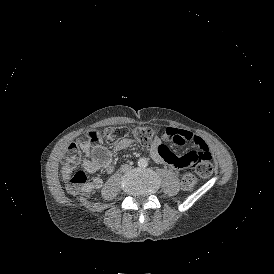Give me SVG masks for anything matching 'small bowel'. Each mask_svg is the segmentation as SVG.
I'll return each instance as SVG.
<instances>
[{
	"mask_svg": "<svg viewBox=\"0 0 274 274\" xmlns=\"http://www.w3.org/2000/svg\"><path fill=\"white\" fill-rule=\"evenodd\" d=\"M163 139L165 141L162 145ZM189 142L195 144L200 150L207 149L208 154L204 156L193 147L189 151H184L181 155L175 152L177 147ZM131 144V139L122 137L115 143L114 149L122 151ZM79 149L83 153V167L88 173H95L99 169H104L107 173L112 171L113 160L111 154L103 145L91 144L89 141L84 140L79 143ZM149 153L155 162L175 167L181 173L191 168L192 165H196L195 169L198 177L208 179L213 174L214 158L210 155L206 143L201 137L187 130L174 129L171 126L166 127L162 136L156 137L150 144ZM160 154L166 158L168 157L171 162H166ZM102 185L103 179L95 177L86 183L82 193L88 194L93 190H99Z\"/></svg>",
	"mask_w": 274,
	"mask_h": 274,
	"instance_id": "1",
	"label": "small bowel"
}]
</instances>
